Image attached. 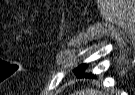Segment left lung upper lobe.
<instances>
[{
    "instance_id": "obj_1",
    "label": "left lung upper lobe",
    "mask_w": 135,
    "mask_h": 95,
    "mask_svg": "<svg viewBox=\"0 0 135 95\" xmlns=\"http://www.w3.org/2000/svg\"><path fill=\"white\" fill-rule=\"evenodd\" d=\"M84 67V65L82 64V65H80L78 68H76L75 70H77V69H79V68H83Z\"/></svg>"
}]
</instances>
